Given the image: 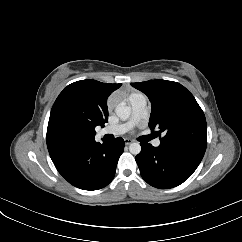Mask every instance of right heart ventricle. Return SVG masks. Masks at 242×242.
Listing matches in <instances>:
<instances>
[{
  "mask_svg": "<svg viewBox=\"0 0 242 242\" xmlns=\"http://www.w3.org/2000/svg\"><path fill=\"white\" fill-rule=\"evenodd\" d=\"M136 94H139V93L132 94V95L129 97V99H130L131 97H133L134 95H136Z\"/></svg>",
  "mask_w": 242,
  "mask_h": 242,
  "instance_id": "e07e8e85",
  "label": "right heart ventricle"
}]
</instances>
